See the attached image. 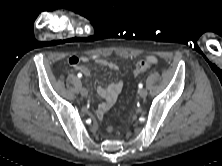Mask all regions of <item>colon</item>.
Returning a JSON list of instances; mask_svg holds the SVG:
<instances>
[{"label":"colon","instance_id":"5ec220e1","mask_svg":"<svg viewBox=\"0 0 222 166\" xmlns=\"http://www.w3.org/2000/svg\"><path fill=\"white\" fill-rule=\"evenodd\" d=\"M151 62L148 60V59H142L140 60L136 66H135V69H134V72L133 74L135 76L141 74V73H144L146 72L150 67H151Z\"/></svg>","mask_w":222,"mask_h":166}]
</instances>
